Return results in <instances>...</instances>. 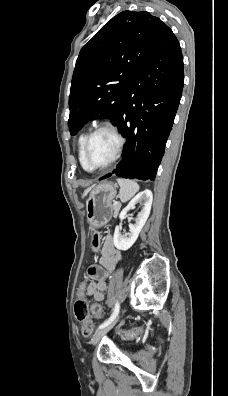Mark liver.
Listing matches in <instances>:
<instances>
[{"instance_id":"1","label":"liver","mask_w":228,"mask_h":396,"mask_svg":"<svg viewBox=\"0 0 228 396\" xmlns=\"http://www.w3.org/2000/svg\"><path fill=\"white\" fill-rule=\"evenodd\" d=\"M88 189L84 191V194L82 196H84L87 193Z\"/></svg>"}]
</instances>
